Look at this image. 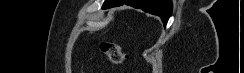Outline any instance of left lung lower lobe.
<instances>
[{"instance_id":"0a47b994","label":"left lung lower lobe","mask_w":244,"mask_h":73,"mask_svg":"<svg viewBox=\"0 0 244 73\" xmlns=\"http://www.w3.org/2000/svg\"><path fill=\"white\" fill-rule=\"evenodd\" d=\"M124 4L131 5L135 8H141L145 12L160 16L164 25H166L172 13L171 0H107L102 9L117 7Z\"/></svg>"}]
</instances>
